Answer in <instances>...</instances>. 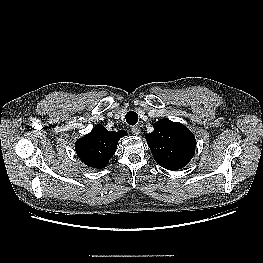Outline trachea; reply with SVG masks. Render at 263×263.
Instances as JSON below:
<instances>
[{"instance_id":"3493384b","label":"trachea","mask_w":263,"mask_h":263,"mask_svg":"<svg viewBox=\"0 0 263 263\" xmlns=\"http://www.w3.org/2000/svg\"><path fill=\"white\" fill-rule=\"evenodd\" d=\"M125 119L129 125H135L138 122V114L135 111H129L126 114Z\"/></svg>"}]
</instances>
